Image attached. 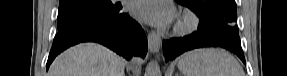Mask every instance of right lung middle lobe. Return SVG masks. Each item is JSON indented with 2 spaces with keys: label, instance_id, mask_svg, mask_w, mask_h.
<instances>
[{
  "label": "right lung middle lobe",
  "instance_id": "right-lung-middle-lobe-1",
  "mask_svg": "<svg viewBox=\"0 0 287 76\" xmlns=\"http://www.w3.org/2000/svg\"><path fill=\"white\" fill-rule=\"evenodd\" d=\"M122 7L110 0H60L58 10V31L75 24L100 20L117 14Z\"/></svg>",
  "mask_w": 287,
  "mask_h": 76
}]
</instances>
